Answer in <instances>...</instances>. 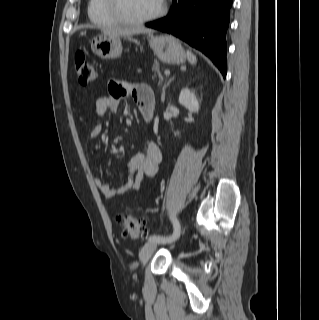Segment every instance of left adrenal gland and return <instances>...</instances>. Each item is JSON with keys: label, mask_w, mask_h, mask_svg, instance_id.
<instances>
[{"label": "left adrenal gland", "mask_w": 319, "mask_h": 320, "mask_svg": "<svg viewBox=\"0 0 319 320\" xmlns=\"http://www.w3.org/2000/svg\"><path fill=\"white\" fill-rule=\"evenodd\" d=\"M174 78H171L164 86H163V89H162V96H161V100L164 101L165 99V89L166 87L170 84V82L173 80Z\"/></svg>", "instance_id": "obj_1"}]
</instances>
